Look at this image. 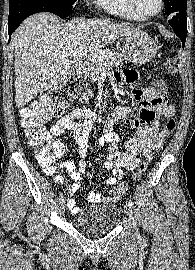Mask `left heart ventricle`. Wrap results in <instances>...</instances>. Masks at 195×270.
<instances>
[{
	"mask_svg": "<svg viewBox=\"0 0 195 270\" xmlns=\"http://www.w3.org/2000/svg\"><path fill=\"white\" fill-rule=\"evenodd\" d=\"M135 2L144 14H153L159 9V0H135Z\"/></svg>",
	"mask_w": 195,
	"mask_h": 270,
	"instance_id": "left-heart-ventricle-1",
	"label": "left heart ventricle"
}]
</instances>
